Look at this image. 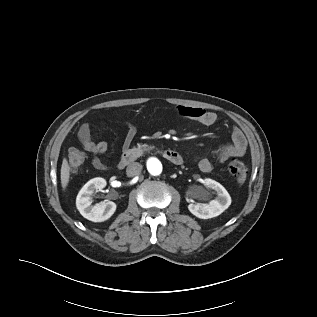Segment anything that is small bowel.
<instances>
[{"label": "small bowel", "instance_id": "1", "mask_svg": "<svg viewBox=\"0 0 317 317\" xmlns=\"http://www.w3.org/2000/svg\"><path fill=\"white\" fill-rule=\"evenodd\" d=\"M177 113L181 117L190 118L199 123L210 126L217 120V115L200 107L180 105L177 107ZM127 133L125 135L123 146L127 147L131 144L136 136V127L127 123ZM78 138L82 147L92 154V163L94 167L100 170L106 169V165L102 162L101 157L107 152L108 144L105 141L96 142L91 137L90 127L88 124L82 125L78 130ZM247 151V139L243 131L233 126L231 129V142L225 146L216 149L213 158L218 162H225L233 157L243 156ZM213 161L210 158H202L198 162V167L202 172L208 173L213 170Z\"/></svg>", "mask_w": 317, "mask_h": 317}]
</instances>
